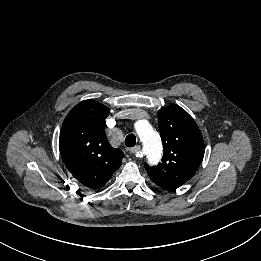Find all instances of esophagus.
I'll return each instance as SVG.
<instances>
[{"label":"esophagus","instance_id":"obj_1","mask_svg":"<svg viewBox=\"0 0 261 261\" xmlns=\"http://www.w3.org/2000/svg\"><path fill=\"white\" fill-rule=\"evenodd\" d=\"M141 149V146L140 145H136L135 147L131 148V153L132 154H137Z\"/></svg>","mask_w":261,"mask_h":261}]
</instances>
